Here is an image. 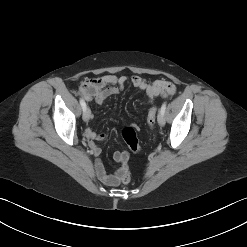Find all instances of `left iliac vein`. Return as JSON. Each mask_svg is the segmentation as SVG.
<instances>
[{
  "mask_svg": "<svg viewBox=\"0 0 247 247\" xmlns=\"http://www.w3.org/2000/svg\"><path fill=\"white\" fill-rule=\"evenodd\" d=\"M158 124L160 126L165 125V117H164V114H162L161 112L158 114Z\"/></svg>",
  "mask_w": 247,
  "mask_h": 247,
  "instance_id": "left-iliac-vein-1",
  "label": "left iliac vein"
}]
</instances>
